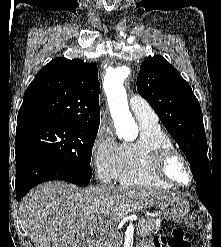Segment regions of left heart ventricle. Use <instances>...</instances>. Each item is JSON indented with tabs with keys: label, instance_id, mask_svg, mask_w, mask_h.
<instances>
[{
	"label": "left heart ventricle",
	"instance_id": "obj_1",
	"mask_svg": "<svg viewBox=\"0 0 221 247\" xmlns=\"http://www.w3.org/2000/svg\"><path fill=\"white\" fill-rule=\"evenodd\" d=\"M170 174L182 183H186L188 181V176L186 173V169L184 165L179 161H172L169 166Z\"/></svg>",
	"mask_w": 221,
	"mask_h": 247
}]
</instances>
